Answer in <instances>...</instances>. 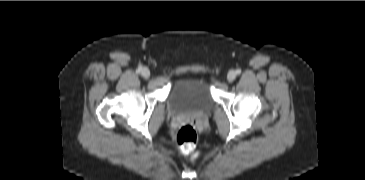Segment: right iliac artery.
Returning a JSON list of instances; mask_svg holds the SVG:
<instances>
[{"label":"right iliac artery","mask_w":365,"mask_h":180,"mask_svg":"<svg viewBox=\"0 0 365 180\" xmlns=\"http://www.w3.org/2000/svg\"><path fill=\"white\" fill-rule=\"evenodd\" d=\"M142 70V67H138L137 72L140 73Z\"/></svg>","instance_id":"obj_1"}]
</instances>
